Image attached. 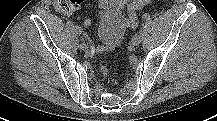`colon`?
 I'll use <instances>...</instances> for the list:
<instances>
[{
	"mask_svg": "<svg viewBox=\"0 0 217 121\" xmlns=\"http://www.w3.org/2000/svg\"><path fill=\"white\" fill-rule=\"evenodd\" d=\"M84 3V0H53L54 8L61 13H72L78 10ZM100 71L107 76L109 73L108 61L100 59L98 63Z\"/></svg>",
	"mask_w": 217,
	"mask_h": 121,
	"instance_id": "colon-1",
	"label": "colon"
}]
</instances>
